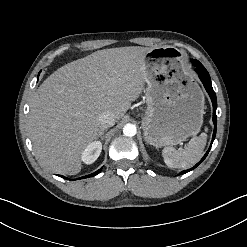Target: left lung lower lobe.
Here are the masks:
<instances>
[{
    "mask_svg": "<svg viewBox=\"0 0 247 247\" xmlns=\"http://www.w3.org/2000/svg\"><path fill=\"white\" fill-rule=\"evenodd\" d=\"M193 65L196 67V72L198 73V76L200 78V80L202 81L206 91L208 92L212 104H213V123H214V132H213V137H212V142L210 145V148L212 146V143L215 139L216 136V126H217V118H216V108H217V100H216V94L212 88V84H211V79H210V75L207 72V70L204 68V66L198 61V62H194ZM206 152V154L204 155V157L200 160V162H198L194 167H192L191 169L182 171L180 174H185L193 169H195L208 155L209 150Z\"/></svg>",
    "mask_w": 247,
    "mask_h": 247,
    "instance_id": "0a47b994",
    "label": "left lung lower lobe"
}]
</instances>
